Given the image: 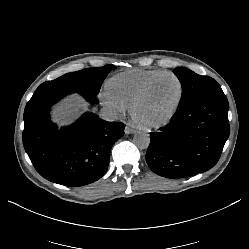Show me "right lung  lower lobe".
Listing matches in <instances>:
<instances>
[{
  "label": "right lung lower lobe",
  "instance_id": "obj_1",
  "mask_svg": "<svg viewBox=\"0 0 249 249\" xmlns=\"http://www.w3.org/2000/svg\"><path fill=\"white\" fill-rule=\"evenodd\" d=\"M98 103L76 89L35 92L24 111L23 145L37 172L49 181L77 187L92 183L107 171L112 145L125 125L107 122L86 112L75 123L58 127L50 120L52 105L71 93ZM95 100V101H94Z\"/></svg>",
  "mask_w": 249,
  "mask_h": 249
}]
</instances>
